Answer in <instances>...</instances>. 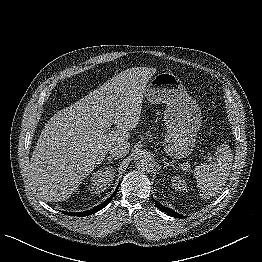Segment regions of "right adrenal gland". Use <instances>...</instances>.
Masks as SVG:
<instances>
[{
  "label": "right adrenal gland",
  "instance_id": "1",
  "mask_svg": "<svg viewBox=\"0 0 262 262\" xmlns=\"http://www.w3.org/2000/svg\"><path fill=\"white\" fill-rule=\"evenodd\" d=\"M117 158L111 157V156H107L104 160L108 161L109 164L113 163V160H116Z\"/></svg>",
  "mask_w": 262,
  "mask_h": 262
}]
</instances>
